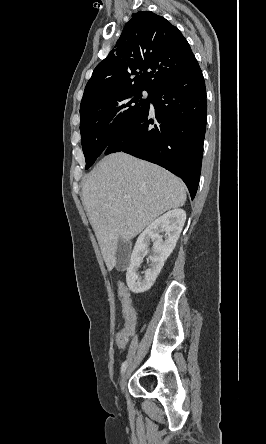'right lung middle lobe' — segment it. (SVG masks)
<instances>
[{
    "mask_svg": "<svg viewBox=\"0 0 266 444\" xmlns=\"http://www.w3.org/2000/svg\"><path fill=\"white\" fill-rule=\"evenodd\" d=\"M142 89L120 90L97 98L80 108V132L86 169L123 129L142 116L149 100ZM149 99L150 92L148 91Z\"/></svg>",
    "mask_w": 266,
    "mask_h": 444,
    "instance_id": "right-lung-middle-lobe-1",
    "label": "right lung middle lobe"
}]
</instances>
